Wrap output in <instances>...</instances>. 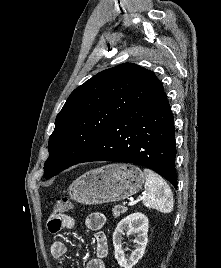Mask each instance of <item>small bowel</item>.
I'll return each instance as SVG.
<instances>
[{"label":"small bowel","mask_w":221,"mask_h":268,"mask_svg":"<svg viewBox=\"0 0 221 268\" xmlns=\"http://www.w3.org/2000/svg\"><path fill=\"white\" fill-rule=\"evenodd\" d=\"M106 217L101 212H94L89 214L85 219L86 227L94 232V239L96 242V257L89 260L84 268H106L105 258L108 255V240L106 234L102 231L105 225ZM73 226V220L63 214L55 215L52 214L47 223L49 232L57 234L67 228ZM68 248L65 243L61 241H53L50 244V253L56 258L60 259L67 253ZM58 268H63L59 266Z\"/></svg>","instance_id":"c3829d8e"}]
</instances>
